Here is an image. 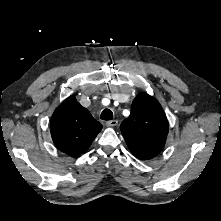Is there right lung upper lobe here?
I'll use <instances>...</instances> for the list:
<instances>
[{
    "label": "right lung upper lobe",
    "instance_id": "right-lung-upper-lobe-1",
    "mask_svg": "<svg viewBox=\"0 0 221 221\" xmlns=\"http://www.w3.org/2000/svg\"><path fill=\"white\" fill-rule=\"evenodd\" d=\"M102 125L75 98L70 96L55 110L50 131L56 147L73 157L85 152Z\"/></svg>",
    "mask_w": 221,
    "mask_h": 221
}]
</instances>
